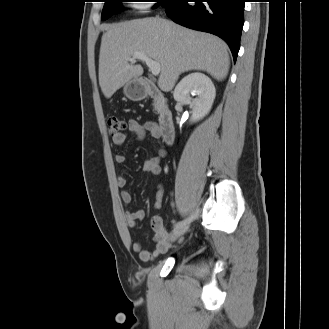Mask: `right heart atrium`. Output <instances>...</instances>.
I'll list each match as a JSON object with an SVG mask.
<instances>
[{
  "label": "right heart atrium",
  "mask_w": 329,
  "mask_h": 329,
  "mask_svg": "<svg viewBox=\"0 0 329 329\" xmlns=\"http://www.w3.org/2000/svg\"><path fill=\"white\" fill-rule=\"evenodd\" d=\"M135 3H133V8L136 10H145L148 8L149 3L148 1H134Z\"/></svg>",
  "instance_id": "right-heart-atrium-1"
}]
</instances>
